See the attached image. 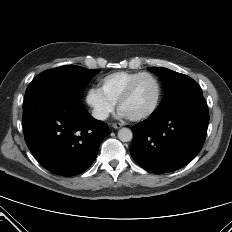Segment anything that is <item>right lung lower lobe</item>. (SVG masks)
<instances>
[{
  "label": "right lung lower lobe",
  "mask_w": 232,
  "mask_h": 232,
  "mask_svg": "<svg viewBox=\"0 0 232 232\" xmlns=\"http://www.w3.org/2000/svg\"><path fill=\"white\" fill-rule=\"evenodd\" d=\"M23 106L25 141L43 167L73 176L91 166L109 128L91 117L80 99L43 97Z\"/></svg>",
  "instance_id": "right-lung-lower-lobe-1"
}]
</instances>
